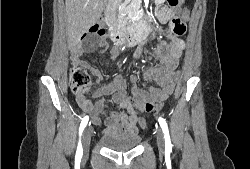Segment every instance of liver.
Returning <instances> with one entry per match:
<instances>
[{"instance_id": "liver-1", "label": "liver", "mask_w": 250, "mask_h": 169, "mask_svg": "<svg viewBox=\"0 0 250 169\" xmlns=\"http://www.w3.org/2000/svg\"><path fill=\"white\" fill-rule=\"evenodd\" d=\"M108 0H65L67 14V40L70 50L77 48L79 40L101 16Z\"/></svg>"}]
</instances>
